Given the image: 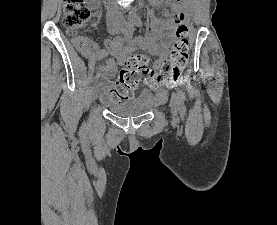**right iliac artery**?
Listing matches in <instances>:
<instances>
[{
    "label": "right iliac artery",
    "mask_w": 277,
    "mask_h": 225,
    "mask_svg": "<svg viewBox=\"0 0 277 225\" xmlns=\"http://www.w3.org/2000/svg\"><path fill=\"white\" fill-rule=\"evenodd\" d=\"M134 26H135L134 21H130L128 23L126 32H125L124 37H123L124 40H130L132 38L133 33H134ZM117 38H121V36H117ZM96 87H97V83H96V81H94L91 88L95 89Z\"/></svg>",
    "instance_id": "right-iliac-artery-1"
}]
</instances>
